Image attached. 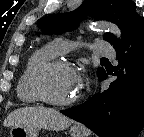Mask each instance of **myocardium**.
Instances as JSON below:
<instances>
[{"label": "myocardium", "mask_w": 144, "mask_h": 137, "mask_svg": "<svg viewBox=\"0 0 144 137\" xmlns=\"http://www.w3.org/2000/svg\"><path fill=\"white\" fill-rule=\"evenodd\" d=\"M58 68H65L69 69L72 71H75L74 66L65 60H60V59H51L49 61H46L40 65H38L35 70L33 71L31 75V80H30V86L35 94V96L42 102L52 105V106H57V107H64V106H70L75 104L79 100V95L74 96L71 99L68 100H56L49 96L47 93L45 86H44V81L50 72L58 69Z\"/></svg>", "instance_id": "1"}]
</instances>
